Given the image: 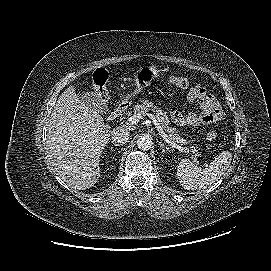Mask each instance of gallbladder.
<instances>
[{"mask_svg": "<svg viewBox=\"0 0 271 271\" xmlns=\"http://www.w3.org/2000/svg\"><path fill=\"white\" fill-rule=\"evenodd\" d=\"M79 98L86 106L99 113H105L108 109L107 104L94 92H82Z\"/></svg>", "mask_w": 271, "mask_h": 271, "instance_id": "1", "label": "gallbladder"}]
</instances>
